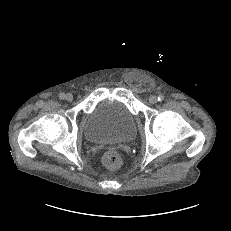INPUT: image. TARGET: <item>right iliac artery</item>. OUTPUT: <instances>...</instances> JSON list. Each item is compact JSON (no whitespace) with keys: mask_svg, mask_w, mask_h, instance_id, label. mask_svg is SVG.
<instances>
[{"mask_svg":"<svg viewBox=\"0 0 231 231\" xmlns=\"http://www.w3.org/2000/svg\"><path fill=\"white\" fill-rule=\"evenodd\" d=\"M59 97H60V99H64L65 98V94L64 93H60Z\"/></svg>","mask_w":231,"mask_h":231,"instance_id":"obj_1","label":"right iliac artery"}]
</instances>
